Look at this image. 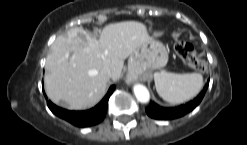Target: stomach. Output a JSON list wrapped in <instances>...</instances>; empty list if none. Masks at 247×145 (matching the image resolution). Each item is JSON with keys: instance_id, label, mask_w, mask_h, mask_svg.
I'll list each match as a JSON object with an SVG mask.
<instances>
[{"instance_id": "1", "label": "stomach", "mask_w": 247, "mask_h": 145, "mask_svg": "<svg viewBox=\"0 0 247 145\" xmlns=\"http://www.w3.org/2000/svg\"><path fill=\"white\" fill-rule=\"evenodd\" d=\"M168 62V51L159 41L151 39L133 51L128 60V70L132 75H143L161 69Z\"/></svg>"}]
</instances>
